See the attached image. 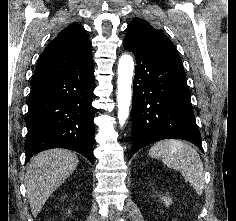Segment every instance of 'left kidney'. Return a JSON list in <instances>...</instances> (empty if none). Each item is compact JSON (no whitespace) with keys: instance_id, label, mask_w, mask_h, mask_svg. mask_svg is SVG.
<instances>
[{"instance_id":"5707ae66","label":"left kidney","mask_w":236,"mask_h":221,"mask_svg":"<svg viewBox=\"0 0 236 221\" xmlns=\"http://www.w3.org/2000/svg\"><path fill=\"white\" fill-rule=\"evenodd\" d=\"M162 199L164 200V202H165V204H166L167 206L170 205L171 199H169V198H167V197H163Z\"/></svg>"}]
</instances>
